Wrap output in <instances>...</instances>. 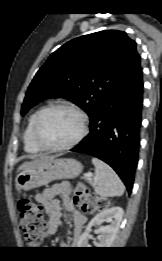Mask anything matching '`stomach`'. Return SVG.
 I'll list each match as a JSON object with an SVG mask.
<instances>
[{
	"mask_svg": "<svg viewBox=\"0 0 162 261\" xmlns=\"http://www.w3.org/2000/svg\"><path fill=\"white\" fill-rule=\"evenodd\" d=\"M82 170V164L76 159L47 156L35 166L19 170L15 186L19 190L27 191L54 180L76 178Z\"/></svg>",
	"mask_w": 162,
	"mask_h": 261,
	"instance_id": "obj_1",
	"label": "stomach"
}]
</instances>
